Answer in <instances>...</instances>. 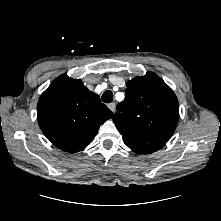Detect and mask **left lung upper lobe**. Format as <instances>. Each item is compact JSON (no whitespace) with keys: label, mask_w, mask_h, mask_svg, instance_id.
Returning a JSON list of instances; mask_svg holds the SVG:
<instances>
[{"label":"left lung upper lobe","mask_w":221,"mask_h":221,"mask_svg":"<svg viewBox=\"0 0 221 221\" xmlns=\"http://www.w3.org/2000/svg\"><path fill=\"white\" fill-rule=\"evenodd\" d=\"M126 86L125 100L117 105L113 121L132 151L153 153L175 131L179 118L177 97L159 76L149 71Z\"/></svg>","instance_id":"left-lung-upper-lobe-1"}]
</instances>
